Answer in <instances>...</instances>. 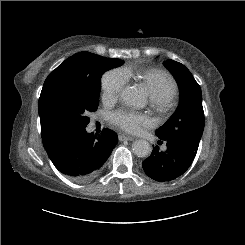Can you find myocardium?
Masks as SVG:
<instances>
[{"instance_id":"f54148a6","label":"myocardium","mask_w":245,"mask_h":245,"mask_svg":"<svg viewBox=\"0 0 245 245\" xmlns=\"http://www.w3.org/2000/svg\"><path fill=\"white\" fill-rule=\"evenodd\" d=\"M174 97L169 92H161L151 96V105L158 112L167 113L173 105Z\"/></svg>"}]
</instances>
